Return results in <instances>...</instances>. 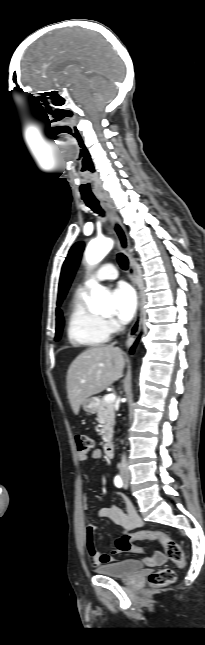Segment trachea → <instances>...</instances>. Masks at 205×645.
<instances>
[{
	"label": "trachea",
	"mask_w": 205,
	"mask_h": 645,
	"mask_svg": "<svg viewBox=\"0 0 205 645\" xmlns=\"http://www.w3.org/2000/svg\"><path fill=\"white\" fill-rule=\"evenodd\" d=\"M82 199L85 202V204L91 210H93L95 213H98L99 215H102V216L104 215V211L100 207L99 201L95 197H93V196H82ZM117 260H118V263H119L120 267L123 270L128 269L129 262H128L127 257L123 253L118 254Z\"/></svg>",
	"instance_id": "obj_1"
}]
</instances>
